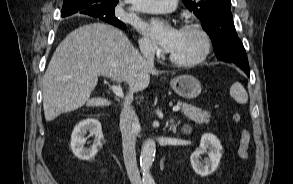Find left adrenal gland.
I'll return each instance as SVG.
<instances>
[{"label": "left adrenal gland", "instance_id": "obj_1", "mask_svg": "<svg viewBox=\"0 0 293 184\" xmlns=\"http://www.w3.org/2000/svg\"><path fill=\"white\" fill-rule=\"evenodd\" d=\"M180 124V121H178L177 123H174V120L171 119L170 120V129H172L173 131L176 130L177 126Z\"/></svg>", "mask_w": 293, "mask_h": 184}]
</instances>
